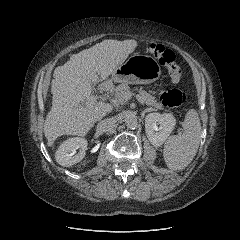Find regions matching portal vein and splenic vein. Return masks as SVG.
I'll return each instance as SVG.
<instances>
[{
	"instance_id": "18ae733b",
	"label": "portal vein and splenic vein",
	"mask_w": 240,
	"mask_h": 240,
	"mask_svg": "<svg viewBox=\"0 0 240 240\" xmlns=\"http://www.w3.org/2000/svg\"><path fill=\"white\" fill-rule=\"evenodd\" d=\"M132 95H133L132 93H126L125 96H124V99H125V100H129V99L132 98ZM96 99H97V98H96L95 96H91V97L87 98L86 104H88V105H93V104H95ZM136 99H137L141 104H143V101L141 100V98H140L139 95H136ZM79 108L82 109L83 106H82V105H79Z\"/></svg>"
}]
</instances>
